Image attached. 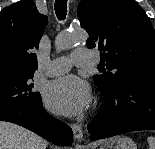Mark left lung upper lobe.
<instances>
[{
    "instance_id": "obj_1",
    "label": "left lung upper lobe",
    "mask_w": 155,
    "mask_h": 149,
    "mask_svg": "<svg viewBox=\"0 0 155 149\" xmlns=\"http://www.w3.org/2000/svg\"><path fill=\"white\" fill-rule=\"evenodd\" d=\"M77 15L89 34L87 47L99 49L111 71L93 76L99 87L113 89L135 77L155 75V30L137 2L81 0Z\"/></svg>"
}]
</instances>
